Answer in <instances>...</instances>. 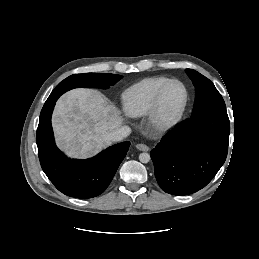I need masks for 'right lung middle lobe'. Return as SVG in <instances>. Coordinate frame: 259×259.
<instances>
[{
  "label": "right lung middle lobe",
  "instance_id": "right-lung-middle-lobe-1",
  "mask_svg": "<svg viewBox=\"0 0 259 259\" xmlns=\"http://www.w3.org/2000/svg\"><path fill=\"white\" fill-rule=\"evenodd\" d=\"M121 78V75L109 73L74 74L60 82L52 91L46 102H50L53 98H59L66 91L77 87H95L106 89L109 86L114 85Z\"/></svg>",
  "mask_w": 259,
  "mask_h": 259
}]
</instances>
